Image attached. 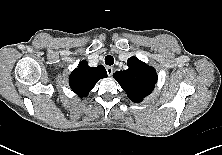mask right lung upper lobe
<instances>
[{
	"mask_svg": "<svg viewBox=\"0 0 222 155\" xmlns=\"http://www.w3.org/2000/svg\"><path fill=\"white\" fill-rule=\"evenodd\" d=\"M105 77L107 72L102 65L90 67L88 62L83 60L70 74L69 84L71 89L82 98L89 94L99 79Z\"/></svg>",
	"mask_w": 222,
	"mask_h": 155,
	"instance_id": "cb5924a9",
	"label": "right lung upper lobe"
}]
</instances>
